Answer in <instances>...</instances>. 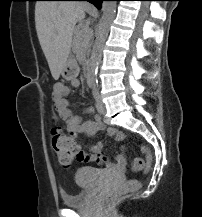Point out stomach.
Returning a JSON list of instances; mask_svg holds the SVG:
<instances>
[{
    "label": "stomach",
    "instance_id": "obj_1",
    "mask_svg": "<svg viewBox=\"0 0 202 217\" xmlns=\"http://www.w3.org/2000/svg\"><path fill=\"white\" fill-rule=\"evenodd\" d=\"M79 74V67L75 60L69 59L67 60L61 75L64 79H74Z\"/></svg>",
    "mask_w": 202,
    "mask_h": 217
}]
</instances>
